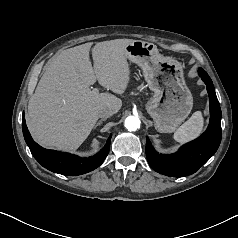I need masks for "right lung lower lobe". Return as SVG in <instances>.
<instances>
[{
  "instance_id": "98d812e1",
  "label": "right lung lower lobe",
  "mask_w": 238,
  "mask_h": 238,
  "mask_svg": "<svg viewBox=\"0 0 238 238\" xmlns=\"http://www.w3.org/2000/svg\"><path fill=\"white\" fill-rule=\"evenodd\" d=\"M22 122L23 135L34 158L43 167L55 173L74 176L90 172L101 165L108 155L111 135L99 153L89 158H80L73 154L44 149L32 139L24 118Z\"/></svg>"
}]
</instances>
